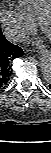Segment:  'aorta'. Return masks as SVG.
<instances>
[{
  "instance_id": "762f6f07",
  "label": "aorta",
  "mask_w": 51,
  "mask_h": 153,
  "mask_svg": "<svg viewBox=\"0 0 51 153\" xmlns=\"http://www.w3.org/2000/svg\"><path fill=\"white\" fill-rule=\"evenodd\" d=\"M41 70L47 82L51 80V57L49 51H43L41 55Z\"/></svg>"
}]
</instances>
